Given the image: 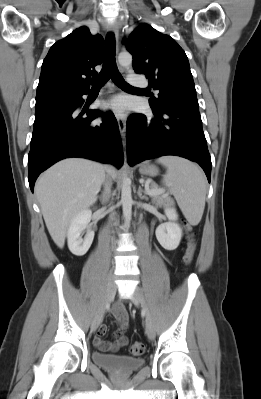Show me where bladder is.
I'll use <instances>...</instances> for the list:
<instances>
[{
  "label": "bladder",
  "instance_id": "bladder-1",
  "mask_svg": "<svg viewBox=\"0 0 261 399\" xmlns=\"http://www.w3.org/2000/svg\"><path fill=\"white\" fill-rule=\"evenodd\" d=\"M92 360L103 369L117 374H132L144 365L143 358L93 351Z\"/></svg>",
  "mask_w": 261,
  "mask_h": 399
}]
</instances>
